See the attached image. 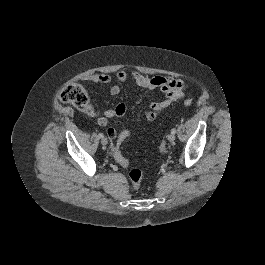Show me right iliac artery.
Returning a JSON list of instances; mask_svg holds the SVG:
<instances>
[{
    "mask_svg": "<svg viewBox=\"0 0 265 265\" xmlns=\"http://www.w3.org/2000/svg\"><path fill=\"white\" fill-rule=\"evenodd\" d=\"M99 138H103L104 137V135L102 134V133H99Z\"/></svg>",
    "mask_w": 265,
    "mask_h": 265,
    "instance_id": "82829eb1",
    "label": "right iliac artery"
}]
</instances>
